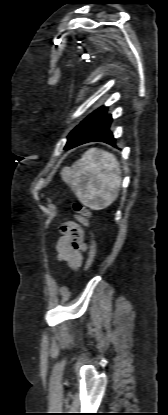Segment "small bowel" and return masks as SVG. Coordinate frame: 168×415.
Wrapping results in <instances>:
<instances>
[{
  "label": "small bowel",
  "mask_w": 168,
  "mask_h": 415,
  "mask_svg": "<svg viewBox=\"0 0 168 415\" xmlns=\"http://www.w3.org/2000/svg\"><path fill=\"white\" fill-rule=\"evenodd\" d=\"M79 220L87 224L85 218L79 217ZM62 232L63 235L56 244L58 259L73 269H77L83 262V252L87 250L82 229L74 223H66L62 226Z\"/></svg>",
  "instance_id": "1"
}]
</instances>
